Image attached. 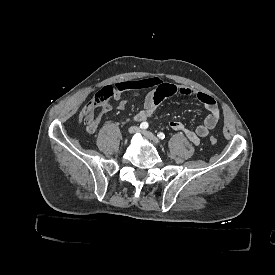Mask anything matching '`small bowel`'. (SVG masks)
Instances as JSON below:
<instances>
[{
	"mask_svg": "<svg viewBox=\"0 0 275 275\" xmlns=\"http://www.w3.org/2000/svg\"><path fill=\"white\" fill-rule=\"evenodd\" d=\"M122 84H124V87L115 94V99L118 100L117 108L119 110L125 109L127 105V99L121 97L122 92L148 90L142 109L134 116L137 122L148 120L154 114L158 105L169 96L178 95L183 98H196L199 100L208 112L201 124L194 129H190L185 123L179 120H171L168 123V127L172 131L182 132L195 145H198L200 140L206 137L209 132L217 126L220 120V109L215 99L211 95L196 91L191 87L165 83L159 77L155 76L126 81Z\"/></svg>",
	"mask_w": 275,
	"mask_h": 275,
	"instance_id": "obj_1",
	"label": "small bowel"
}]
</instances>
